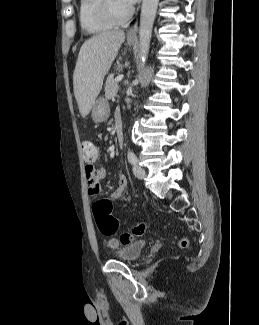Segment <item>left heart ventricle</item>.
I'll return each instance as SVG.
<instances>
[{
	"instance_id": "obj_1",
	"label": "left heart ventricle",
	"mask_w": 259,
	"mask_h": 325,
	"mask_svg": "<svg viewBox=\"0 0 259 325\" xmlns=\"http://www.w3.org/2000/svg\"><path fill=\"white\" fill-rule=\"evenodd\" d=\"M112 5L114 10L118 13V14H123L126 12V10L128 9V5H126L123 0H112Z\"/></svg>"
}]
</instances>
